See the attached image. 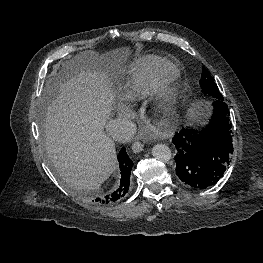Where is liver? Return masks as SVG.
Returning a JSON list of instances; mask_svg holds the SVG:
<instances>
[{"label":"liver","mask_w":263,"mask_h":263,"mask_svg":"<svg viewBox=\"0 0 263 263\" xmlns=\"http://www.w3.org/2000/svg\"><path fill=\"white\" fill-rule=\"evenodd\" d=\"M128 55L127 48L115 49L94 62L84 54L83 64L53 87L44 123L45 149L60 176L78 190H97L116 168L115 144L104 132L115 99L107 67L122 64Z\"/></svg>","instance_id":"obj_1"}]
</instances>
